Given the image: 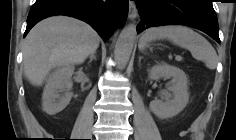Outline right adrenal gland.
<instances>
[{
	"mask_svg": "<svg viewBox=\"0 0 236 140\" xmlns=\"http://www.w3.org/2000/svg\"><path fill=\"white\" fill-rule=\"evenodd\" d=\"M96 53H93L89 56V63H91L93 61V59H96V56H95Z\"/></svg>",
	"mask_w": 236,
	"mask_h": 140,
	"instance_id": "1",
	"label": "right adrenal gland"
}]
</instances>
